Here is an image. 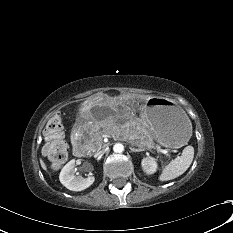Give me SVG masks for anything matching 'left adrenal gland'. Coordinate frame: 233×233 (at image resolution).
Masks as SVG:
<instances>
[{
    "label": "left adrenal gland",
    "mask_w": 233,
    "mask_h": 233,
    "mask_svg": "<svg viewBox=\"0 0 233 233\" xmlns=\"http://www.w3.org/2000/svg\"><path fill=\"white\" fill-rule=\"evenodd\" d=\"M136 146H137V145H136ZM130 150H131L132 152H141V151H144L145 149L142 148V147L134 148V147H133V144H132V146L130 147Z\"/></svg>",
    "instance_id": "left-adrenal-gland-1"
}]
</instances>
